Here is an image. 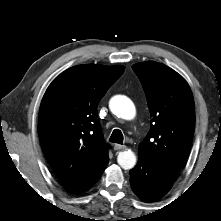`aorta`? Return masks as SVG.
Instances as JSON below:
<instances>
[{
    "label": "aorta",
    "mask_w": 221,
    "mask_h": 221,
    "mask_svg": "<svg viewBox=\"0 0 221 221\" xmlns=\"http://www.w3.org/2000/svg\"><path fill=\"white\" fill-rule=\"evenodd\" d=\"M109 108L114 115L125 120H132L136 115L134 103L123 95L112 97ZM117 162L123 169L129 170L136 165V156L131 150H125L119 152Z\"/></svg>",
    "instance_id": "obj_1"
}]
</instances>
